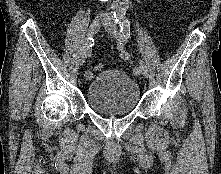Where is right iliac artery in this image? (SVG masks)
<instances>
[{
    "instance_id": "1",
    "label": "right iliac artery",
    "mask_w": 221,
    "mask_h": 174,
    "mask_svg": "<svg viewBox=\"0 0 221 174\" xmlns=\"http://www.w3.org/2000/svg\"><path fill=\"white\" fill-rule=\"evenodd\" d=\"M93 45H94V39L92 37L87 38L84 50L86 57H89L91 55V49ZM84 77L86 80H91L93 78V72L89 69L86 70Z\"/></svg>"
}]
</instances>
